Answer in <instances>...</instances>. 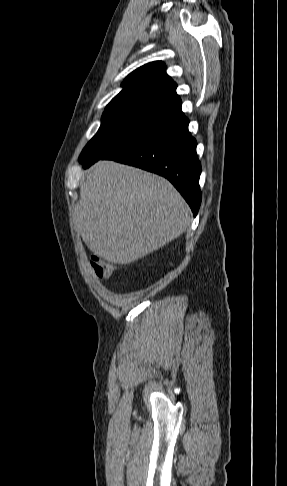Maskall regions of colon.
<instances>
[{
    "instance_id": "1",
    "label": "colon",
    "mask_w": 287,
    "mask_h": 486,
    "mask_svg": "<svg viewBox=\"0 0 287 486\" xmlns=\"http://www.w3.org/2000/svg\"><path fill=\"white\" fill-rule=\"evenodd\" d=\"M92 266L96 275L103 279L109 278L115 268L113 264L105 262L96 256L92 257Z\"/></svg>"
}]
</instances>
